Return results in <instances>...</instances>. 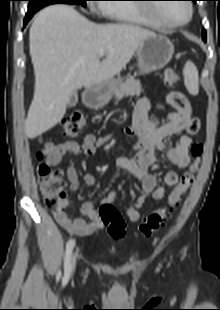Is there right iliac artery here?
Segmentation results:
<instances>
[{"label":"right iliac artery","mask_w":220,"mask_h":310,"mask_svg":"<svg viewBox=\"0 0 220 310\" xmlns=\"http://www.w3.org/2000/svg\"><path fill=\"white\" fill-rule=\"evenodd\" d=\"M73 247H74V241L70 239L66 244V252H65L64 271L66 277L70 275V269H71L70 260Z\"/></svg>","instance_id":"82829eb1"}]
</instances>
